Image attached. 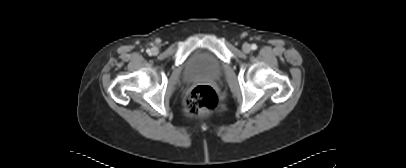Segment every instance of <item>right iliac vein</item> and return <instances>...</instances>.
Wrapping results in <instances>:
<instances>
[{"mask_svg": "<svg viewBox=\"0 0 406 168\" xmlns=\"http://www.w3.org/2000/svg\"><path fill=\"white\" fill-rule=\"evenodd\" d=\"M151 53H152L153 55H156V54L158 53V49H157L156 47H153V48L151 49Z\"/></svg>", "mask_w": 406, "mask_h": 168, "instance_id": "right-iliac-vein-1", "label": "right iliac vein"}]
</instances>
